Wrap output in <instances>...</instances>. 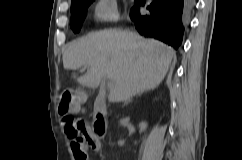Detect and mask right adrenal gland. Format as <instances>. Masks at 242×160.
I'll return each mask as SVG.
<instances>
[{"mask_svg":"<svg viewBox=\"0 0 242 160\" xmlns=\"http://www.w3.org/2000/svg\"><path fill=\"white\" fill-rule=\"evenodd\" d=\"M137 95L139 96V95H141V93H138ZM129 101H130V99L127 100V101L125 102V104H127Z\"/></svg>","mask_w":242,"mask_h":160,"instance_id":"right-adrenal-gland-1","label":"right adrenal gland"}]
</instances>
